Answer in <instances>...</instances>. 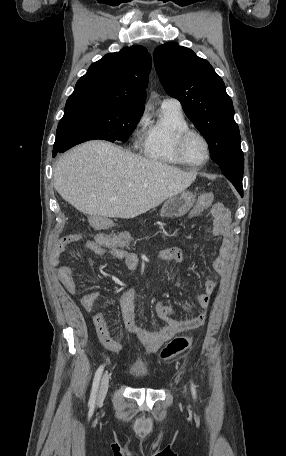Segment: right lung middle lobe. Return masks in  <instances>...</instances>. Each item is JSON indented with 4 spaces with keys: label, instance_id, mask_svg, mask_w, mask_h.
<instances>
[{
    "label": "right lung middle lobe",
    "instance_id": "1",
    "mask_svg": "<svg viewBox=\"0 0 286 456\" xmlns=\"http://www.w3.org/2000/svg\"><path fill=\"white\" fill-rule=\"evenodd\" d=\"M143 111L90 100L67 101L54 148L64 152L93 139L126 142Z\"/></svg>",
    "mask_w": 286,
    "mask_h": 456
}]
</instances>
